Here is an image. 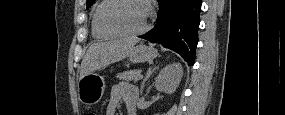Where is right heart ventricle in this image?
Segmentation results:
<instances>
[{"mask_svg": "<svg viewBox=\"0 0 285 115\" xmlns=\"http://www.w3.org/2000/svg\"><path fill=\"white\" fill-rule=\"evenodd\" d=\"M103 2L104 1H100L96 5V7L92 13V18H91L92 35L96 39H114V38H117L119 36L118 34L104 29L98 22V11H99V8Z\"/></svg>", "mask_w": 285, "mask_h": 115, "instance_id": "1", "label": "right heart ventricle"}]
</instances>
